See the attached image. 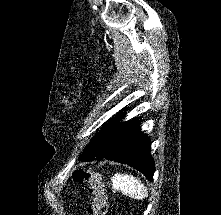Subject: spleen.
<instances>
[{
    "mask_svg": "<svg viewBox=\"0 0 221 215\" xmlns=\"http://www.w3.org/2000/svg\"><path fill=\"white\" fill-rule=\"evenodd\" d=\"M112 186L135 199H143L148 195L147 188L140 179L130 174L116 173L112 178Z\"/></svg>",
    "mask_w": 221,
    "mask_h": 215,
    "instance_id": "1",
    "label": "spleen"
}]
</instances>
